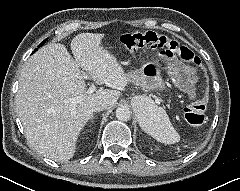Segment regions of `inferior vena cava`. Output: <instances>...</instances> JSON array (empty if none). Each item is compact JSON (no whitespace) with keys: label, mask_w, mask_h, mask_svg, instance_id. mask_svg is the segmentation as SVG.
Listing matches in <instances>:
<instances>
[{"label":"inferior vena cava","mask_w":240,"mask_h":191,"mask_svg":"<svg viewBox=\"0 0 240 191\" xmlns=\"http://www.w3.org/2000/svg\"><path fill=\"white\" fill-rule=\"evenodd\" d=\"M107 107H108V104L106 102L99 101L93 104L92 110L94 112H100L105 110Z\"/></svg>","instance_id":"inferior-vena-cava-1"}]
</instances>
